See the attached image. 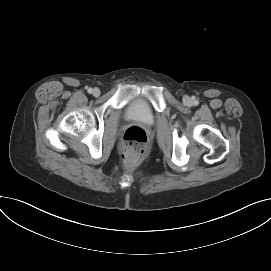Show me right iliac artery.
<instances>
[{
	"instance_id": "obj_1",
	"label": "right iliac artery",
	"mask_w": 271,
	"mask_h": 271,
	"mask_svg": "<svg viewBox=\"0 0 271 271\" xmlns=\"http://www.w3.org/2000/svg\"><path fill=\"white\" fill-rule=\"evenodd\" d=\"M87 91H88V93H92L93 89L92 88H88Z\"/></svg>"
}]
</instances>
